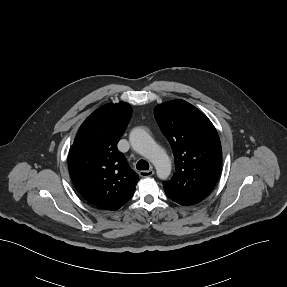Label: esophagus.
<instances>
[{"instance_id":"1","label":"esophagus","mask_w":287,"mask_h":287,"mask_svg":"<svg viewBox=\"0 0 287 287\" xmlns=\"http://www.w3.org/2000/svg\"><path fill=\"white\" fill-rule=\"evenodd\" d=\"M153 174H154V170H153V169H150V170H148V171L143 170V171H140V172H139V175H140L141 177H150V176H152Z\"/></svg>"}]
</instances>
